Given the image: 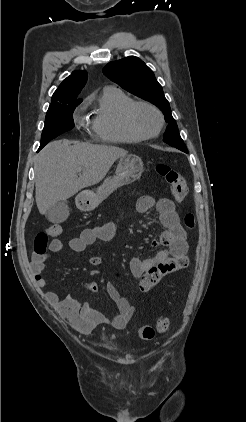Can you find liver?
Listing matches in <instances>:
<instances>
[{
	"instance_id": "obj_1",
	"label": "liver",
	"mask_w": 246,
	"mask_h": 422,
	"mask_svg": "<svg viewBox=\"0 0 246 422\" xmlns=\"http://www.w3.org/2000/svg\"><path fill=\"white\" fill-rule=\"evenodd\" d=\"M126 155V150L114 146L68 140L47 144L37 156L35 169V199L40 214L58 201L99 183L113 163Z\"/></svg>"
}]
</instances>
